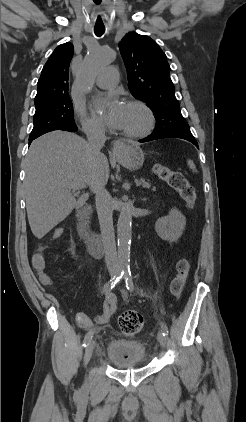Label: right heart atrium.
<instances>
[{
  "label": "right heart atrium",
  "instance_id": "right-heart-atrium-1",
  "mask_svg": "<svg viewBox=\"0 0 246 422\" xmlns=\"http://www.w3.org/2000/svg\"><path fill=\"white\" fill-rule=\"evenodd\" d=\"M76 116L80 122L83 131L92 137L102 136L105 133V128L90 118L82 108H76Z\"/></svg>",
  "mask_w": 246,
  "mask_h": 422
}]
</instances>
